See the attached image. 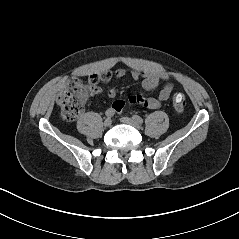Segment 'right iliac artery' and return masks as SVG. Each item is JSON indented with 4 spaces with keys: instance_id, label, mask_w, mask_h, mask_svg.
Masks as SVG:
<instances>
[{
    "instance_id": "obj_1",
    "label": "right iliac artery",
    "mask_w": 239,
    "mask_h": 239,
    "mask_svg": "<svg viewBox=\"0 0 239 239\" xmlns=\"http://www.w3.org/2000/svg\"><path fill=\"white\" fill-rule=\"evenodd\" d=\"M115 114V111L111 108H109L106 112H105V116L108 117V118H111L113 117Z\"/></svg>"
}]
</instances>
